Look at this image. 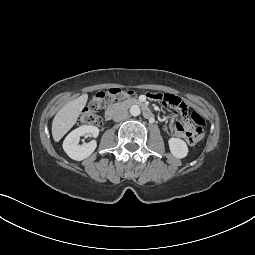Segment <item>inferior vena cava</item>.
Listing matches in <instances>:
<instances>
[{
    "mask_svg": "<svg viewBox=\"0 0 255 255\" xmlns=\"http://www.w3.org/2000/svg\"><path fill=\"white\" fill-rule=\"evenodd\" d=\"M128 114L129 113L126 109H123V108L116 109L113 113V120L115 122L125 120V119H127Z\"/></svg>",
    "mask_w": 255,
    "mask_h": 255,
    "instance_id": "1",
    "label": "inferior vena cava"
}]
</instances>
